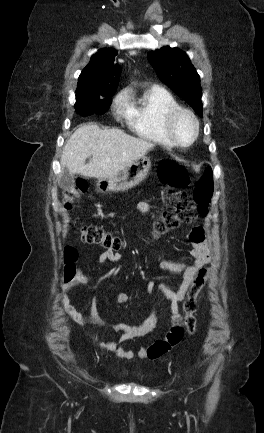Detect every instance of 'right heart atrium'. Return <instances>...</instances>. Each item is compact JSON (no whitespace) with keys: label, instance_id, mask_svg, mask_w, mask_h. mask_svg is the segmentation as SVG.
Instances as JSON below:
<instances>
[{"label":"right heart atrium","instance_id":"right-heart-atrium-1","mask_svg":"<svg viewBox=\"0 0 264 433\" xmlns=\"http://www.w3.org/2000/svg\"><path fill=\"white\" fill-rule=\"evenodd\" d=\"M129 108V99L125 91H121L113 100V112L117 117L126 116Z\"/></svg>","mask_w":264,"mask_h":433}]
</instances>
